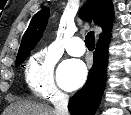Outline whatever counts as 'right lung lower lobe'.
I'll return each instance as SVG.
<instances>
[{"mask_svg": "<svg viewBox=\"0 0 131 115\" xmlns=\"http://www.w3.org/2000/svg\"><path fill=\"white\" fill-rule=\"evenodd\" d=\"M109 42L110 38L98 41L87 82L69 101L68 109L72 115L95 114L106 82Z\"/></svg>", "mask_w": 131, "mask_h": 115, "instance_id": "98d812e1", "label": "right lung lower lobe"}]
</instances>
